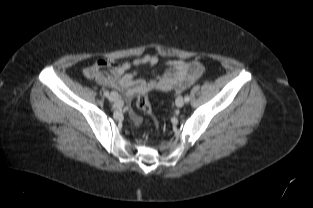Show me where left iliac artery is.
<instances>
[{"label":"left iliac artery","mask_w":313,"mask_h":208,"mask_svg":"<svg viewBox=\"0 0 313 208\" xmlns=\"http://www.w3.org/2000/svg\"><path fill=\"white\" fill-rule=\"evenodd\" d=\"M184 100H185V102H189L190 97L187 95V96H185Z\"/></svg>","instance_id":"44dca946"}]
</instances>
